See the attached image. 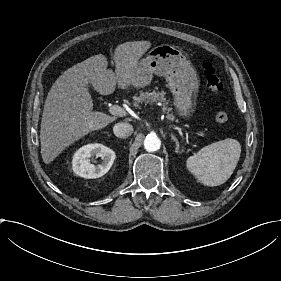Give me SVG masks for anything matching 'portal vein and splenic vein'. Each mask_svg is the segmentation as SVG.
<instances>
[{"instance_id":"18ae733b","label":"portal vein and splenic vein","mask_w":281,"mask_h":281,"mask_svg":"<svg viewBox=\"0 0 281 281\" xmlns=\"http://www.w3.org/2000/svg\"><path fill=\"white\" fill-rule=\"evenodd\" d=\"M152 109H154V108H152ZM110 112H111V114L112 115H115V116H117V117H127L128 116V112L124 109V108H122V107H120V106H118V105H112L111 107H110ZM169 124H171V123H169ZM172 125V124H171ZM174 130H176V131H178V133L179 134H182V131L181 130H183V129H181V130H179V127H174ZM185 131V130H184ZM188 131V130H187ZM190 132V131H189ZM193 133V132H192ZM194 135H196V134H194ZM181 138H184V135H181ZM185 142L186 143H189V140H188V132H185Z\"/></svg>"}]
</instances>
